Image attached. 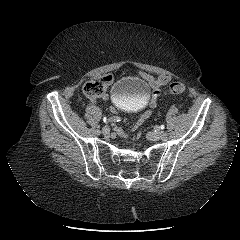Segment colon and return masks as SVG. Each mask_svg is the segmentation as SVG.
Here are the masks:
<instances>
[{
  "instance_id": "obj_1",
  "label": "colon",
  "mask_w": 240,
  "mask_h": 240,
  "mask_svg": "<svg viewBox=\"0 0 240 240\" xmlns=\"http://www.w3.org/2000/svg\"><path fill=\"white\" fill-rule=\"evenodd\" d=\"M107 86V78L100 77L88 81L83 88L84 94L89 98H100L105 93ZM185 92V86L181 82H173L163 92V95L182 94Z\"/></svg>"
}]
</instances>
